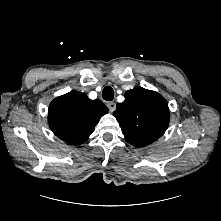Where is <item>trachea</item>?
<instances>
[{
    "instance_id": "1",
    "label": "trachea",
    "mask_w": 221,
    "mask_h": 221,
    "mask_svg": "<svg viewBox=\"0 0 221 221\" xmlns=\"http://www.w3.org/2000/svg\"><path fill=\"white\" fill-rule=\"evenodd\" d=\"M102 97L106 101H112L114 98V90L110 86H106L102 91Z\"/></svg>"
}]
</instances>
